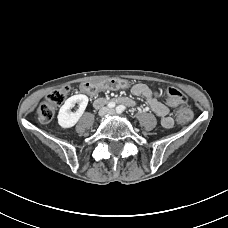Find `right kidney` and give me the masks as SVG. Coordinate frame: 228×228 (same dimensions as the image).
Segmentation results:
<instances>
[{
  "instance_id": "1",
  "label": "right kidney",
  "mask_w": 228,
  "mask_h": 228,
  "mask_svg": "<svg viewBox=\"0 0 228 228\" xmlns=\"http://www.w3.org/2000/svg\"><path fill=\"white\" fill-rule=\"evenodd\" d=\"M88 101V97L83 94L73 95L68 98L59 110L58 124L64 129L73 127L84 113ZM75 104H78L79 108L76 112H72L71 108Z\"/></svg>"
}]
</instances>
